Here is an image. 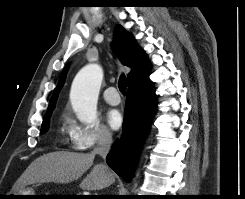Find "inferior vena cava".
<instances>
[{
    "instance_id": "obj_1",
    "label": "inferior vena cava",
    "mask_w": 245,
    "mask_h": 199,
    "mask_svg": "<svg viewBox=\"0 0 245 199\" xmlns=\"http://www.w3.org/2000/svg\"><path fill=\"white\" fill-rule=\"evenodd\" d=\"M112 144V134L108 130H102L99 132L97 137V145L92 151V155H100L105 158L110 150ZM102 166H104L102 164Z\"/></svg>"
}]
</instances>
